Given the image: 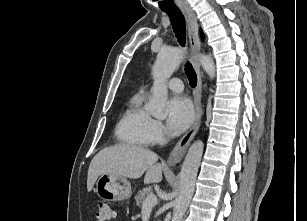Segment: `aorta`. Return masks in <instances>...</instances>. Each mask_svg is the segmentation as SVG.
I'll list each match as a JSON object with an SVG mask.
<instances>
[{
	"label": "aorta",
	"mask_w": 307,
	"mask_h": 221,
	"mask_svg": "<svg viewBox=\"0 0 307 221\" xmlns=\"http://www.w3.org/2000/svg\"><path fill=\"white\" fill-rule=\"evenodd\" d=\"M185 55V51L179 48L162 49L154 63L153 75V95L146 105L147 113L156 118H165V105L167 102L168 90L166 82L171 77L175 69L180 65ZM200 63L204 71L210 78L215 77V64L208 55L200 56ZM204 144L201 140L195 141L189 148L183 161L180 172L179 194L174 202V209L171 221H181L195 189V181L198 168L203 155Z\"/></svg>",
	"instance_id": "1"
}]
</instances>
